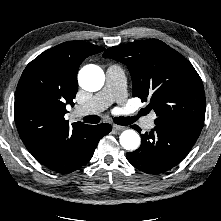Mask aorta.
I'll list each match as a JSON object with an SVG mask.
<instances>
[{
    "instance_id": "obj_1",
    "label": "aorta",
    "mask_w": 221,
    "mask_h": 221,
    "mask_svg": "<svg viewBox=\"0 0 221 221\" xmlns=\"http://www.w3.org/2000/svg\"><path fill=\"white\" fill-rule=\"evenodd\" d=\"M78 81L84 90L95 92L100 90L104 85L105 75L99 66L89 64L79 71ZM119 141L124 149L134 151L140 145V136L135 130L129 129L121 133Z\"/></svg>"
}]
</instances>
